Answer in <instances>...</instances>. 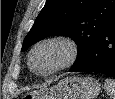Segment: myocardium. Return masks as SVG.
I'll use <instances>...</instances> for the list:
<instances>
[{"label": "myocardium", "mask_w": 115, "mask_h": 99, "mask_svg": "<svg viewBox=\"0 0 115 99\" xmlns=\"http://www.w3.org/2000/svg\"><path fill=\"white\" fill-rule=\"evenodd\" d=\"M47 44H60L64 46L67 51V56L65 60L59 66L47 72H39L33 66V56L40 47ZM78 55H79V46L73 38L66 35H55V36L46 37L38 41L32 47L28 55V65L32 72H34L35 74L39 76L46 77L70 67L76 61V59L78 58Z\"/></svg>", "instance_id": "myocardium-1"}]
</instances>
